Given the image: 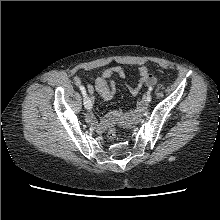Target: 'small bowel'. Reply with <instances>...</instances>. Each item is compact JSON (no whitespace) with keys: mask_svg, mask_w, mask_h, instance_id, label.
Here are the masks:
<instances>
[{"mask_svg":"<svg viewBox=\"0 0 220 220\" xmlns=\"http://www.w3.org/2000/svg\"><path fill=\"white\" fill-rule=\"evenodd\" d=\"M139 76V82L136 86H130L129 91L132 95H138L143 87L151 86L156 83V78L149 72L146 66H140L137 70ZM113 77L124 78L125 71L120 66H115L104 70L100 75L92 79V84L87 86L91 99H93L94 93H97L103 100H110L116 93V88L113 82ZM144 106L143 100L139 103L138 109H142ZM88 123L103 128L106 124V119L98 121L94 114H88L86 116Z\"/></svg>","mask_w":220,"mask_h":220,"instance_id":"c3829d8e","label":"small bowel"}]
</instances>
